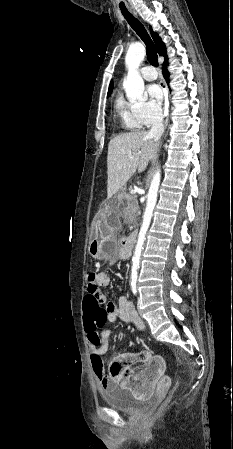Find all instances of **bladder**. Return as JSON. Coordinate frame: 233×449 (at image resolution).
<instances>
[{
  "instance_id": "bladder-1",
  "label": "bladder",
  "mask_w": 233,
  "mask_h": 449,
  "mask_svg": "<svg viewBox=\"0 0 233 449\" xmlns=\"http://www.w3.org/2000/svg\"><path fill=\"white\" fill-rule=\"evenodd\" d=\"M104 402L111 408L127 413H134L150 407L149 400H137L130 389L115 387L102 392Z\"/></svg>"
}]
</instances>
